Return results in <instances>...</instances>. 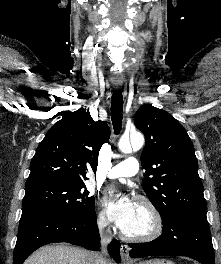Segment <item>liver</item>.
<instances>
[{"label": "liver", "mask_w": 221, "mask_h": 264, "mask_svg": "<svg viewBox=\"0 0 221 264\" xmlns=\"http://www.w3.org/2000/svg\"><path fill=\"white\" fill-rule=\"evenodd\" d=\"M96 253L66 245H48L34 252L24 264H96ZM106 264H114L107 261Z\"/></svg>", "instance_id": "obj_1"}]
</instances>
